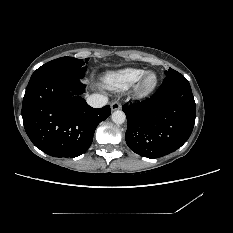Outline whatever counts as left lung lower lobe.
<instances>
[{"label": "left lung lower lobe", "instance_id": "left-lung-lower-lobe-1", "mask_svg": "<svg viewBox=\"0 0 233 233\" xmlns=\"http://www.w3.org/2000/svg\"><path fill=\"white\" fill-rule=\"evenodd\" d=\"M126 143L144 157L158 158L174 152L190 137L196 106L188 80L179 72L165 77L150 98L125 104Z\"/></svg>", "mask_w": 233, "mask_h": 233}]
</instances>
